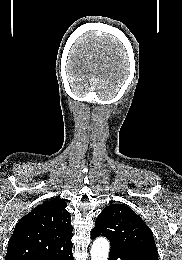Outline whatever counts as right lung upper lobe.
<instances>
[{"label": "right lung upper lobe", "instance_id": "right-lung-upper-lobe-1", "mask_svg": "<svg viewBox=\"0 0 182 260\" xmlns=\"http://www.w3.org/2000/svg\"><path fill=\"white\" fill-rule=\"evenodd\" d=\"M66 202L54 199L35 207L17 223L5 260H37L73 247Z\"/></svg>", "mask_w": 182, "mask_h": 260}]
</instances>
